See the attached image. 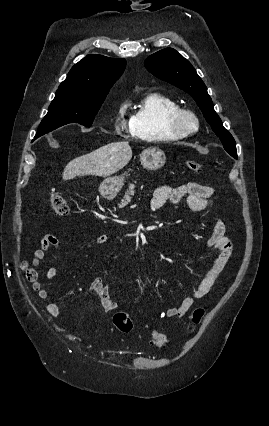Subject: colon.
<instances>
[{
	"instance_id": "obj_1",
	"label": "colon",
	"mask_w": 269,
	"mask_h": 426,
	"mask_svg": "<svg viewBox=\"0 0 269 426\" xmlns=\"http://www.w3.org/2000/svg\"><path fill=\"white\" fill-rule=\"evenodd\" d=\"M186 165L191 171L199 172L201 170V165L196 160H187ZM49 202L51 209L56 215L66 217L70 214V206L67 198L64 195L58 192H53L50 196ZM24 272L28 281L32 282L37 279L36 271L30 268L28 265L24 266ZM203 315L204 310L202 308H197L192 315L193 323L198 324ZM113 324L120 332H131L133 329L132 319L127 313L123 311H119L114 314ZM150 343L153 346L162 347L167 343V338L163 333L153 332Z\"/></svg>"
}]
</instances>
